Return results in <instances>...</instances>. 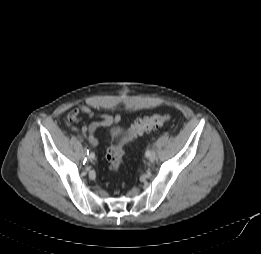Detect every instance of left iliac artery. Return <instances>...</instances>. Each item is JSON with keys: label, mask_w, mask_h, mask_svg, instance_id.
Segmentation results:
<instances>
[{"label": "left iliac artery", "mask_w": 261, "mask_h": 254, "mask_svg": "<svg viewBox=\"0 0 261 254\" xmlns=\"http://www.w3.org/2000/svg\"><path fill=\"white\" fill-rule=\"evenodd\" d=\"M145 155L149 158V157H151L152 152H151L150 150H147L146 153H145Z\"/></svg>", "instance_id": "1"}]
</instances>
